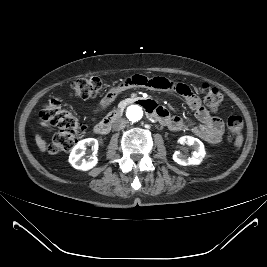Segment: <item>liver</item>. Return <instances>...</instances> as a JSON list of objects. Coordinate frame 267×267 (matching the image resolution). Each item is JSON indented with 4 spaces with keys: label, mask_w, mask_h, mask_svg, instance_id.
I'll return each instance as SVG.
<instances>
[{
    "label": "liver",
    "mask_w": 267,
    "mask_h": 267,
    "mask_svg": "<svg viewBox=\"0 0 267 267\" xmlns=\"http://www.w3.org/2000/svg\"><path fill=\"white\" fill-rule=\"evenodd\" d=\"M36 144L39 147L41 152H45L47 150L46 141L41 138L38 134L35 136Z\"/></svg>",
    "instance_id": "1"
}]
</instances>
